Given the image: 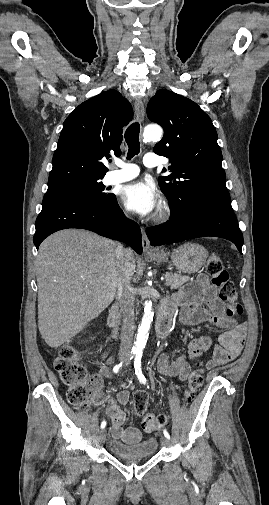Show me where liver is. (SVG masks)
Wrapping results in <instances>:
<instances>
[{
  "label": "liver",
  "instance_id": "6515ba94",
  "mask_svg": "<svg viewBox=\"0 0 269 505\" xmlns=\"http://www.w3.org/2000/svg\"><path fill=\"white\" fill-rule=\"evenodd\" d=\"M117 243L95 233L66 229L46 238L36 260L38 328L47 345L57 348L82 331L116 296ZM135 257L126 249L123 275L135 273Z\"/></svg>",
  "mask_w": 269,
  "mask_h": 505
}]
</instances>
